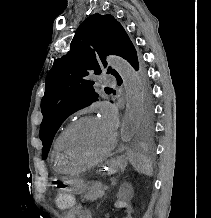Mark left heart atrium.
<instances>
[{
  "mask_svg": "<svg viewBox=\"0 0 211 218\" xmlns=\"http://www.w3.org/2000/svg\"><path fill=\"white\" fill-rule=\"evenodd\" d=\"M99 119L107 128L114 131L117 124V114L113 107L108 104L102 105Z\"/></svg>",
  "mask_w": 211,
  "mask_h": 218,
  "instance_id": "left-heart-atrium-1",
  "label": "left heart atrium"
}]
</instances>
